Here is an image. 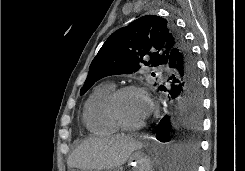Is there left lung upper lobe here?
<instances>
[{
	"label": "left lung upper lobe",
	"instance_id": "left-lung-upper-lobe-1",
	"mask_svg": "<svg viewBox=\"0 0 245 171\" xmlns=\"http://www.w3.org/2000/svg\"><path fill=\"white\" fill-rule=\"evenodd\" d=\"M184 44L182 33L172 21L155 15L140 17L105 41L91 62L80 95L106 76L132 74L142 65H167L170 55ZM145 56L149 61L143 60Z\"/></svg>",
	"mask_w": 245,
	"mask_h": 171
}]
</instances>
